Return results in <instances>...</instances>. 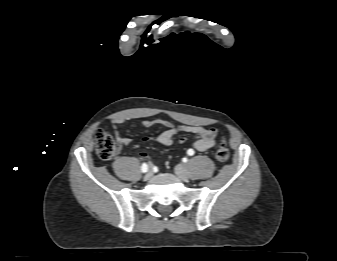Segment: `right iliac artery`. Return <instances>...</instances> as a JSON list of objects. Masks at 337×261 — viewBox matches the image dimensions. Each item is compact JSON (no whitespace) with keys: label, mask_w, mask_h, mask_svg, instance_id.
Listing matches in <instances>:
<instances>
[{"label":"right iliac artery","mask_w":337,"mask_h":261,"mask_svg":"<svg viewBox=\"0 0 337 261\" xmlns=\"http://www.w3.org/2000/svg\"><path fill=\"white\" fill-rule=\"evenodd\" d=\"M141 171L143 173L147 172L148 171V165L146 163H143L142 166H141Z\"/></svg>","instance_id":"1"}]
</instances>
